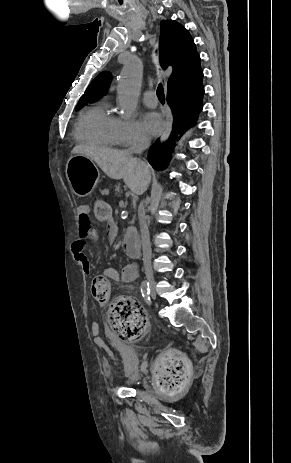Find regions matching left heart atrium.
Instances as JSON below:
<instances>
[{
    "instance_id": "obj_1",
    "label": "left heart atrium",
    "mask_w": 291,
    "mask_h": 463,
    "mask_svg": "<svg viewBox=\"0 0 291 463\" xmlns=\"http://www.w3.org/2000/svg\"><path fill=\"white\" fill-rule=\"evenodd\" d=\"M142 126L147 134L156 135L164 129L165 124L158 113L147 112L142 117Z\"/></svg>"
}]
</instances>
